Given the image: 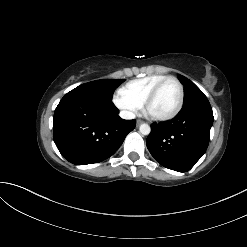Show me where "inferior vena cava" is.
<instances>
[{
    "mask_svg": "<svg viewBox=\"0 0 247 247\" xmlns=\"http://www.w3.org/2000/svg\"><path fill=\"white\" fill-rule=\"evenodd\" d=\"M120 117L123 119H134L135 114L133 112H130V111H121Z\"/></svg>",
    "mask_w": 247,
    "mask_h": 247,
    "instance_id": "1",
    "label": "inferior vena cava"
}]
</instances>
